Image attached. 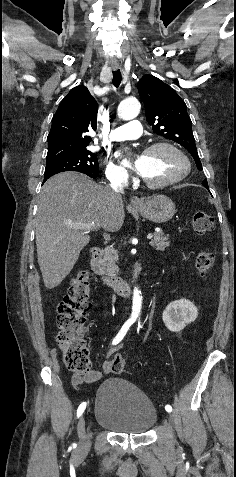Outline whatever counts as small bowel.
Returning <instances> with one entry per match:
<instances>
[{
	"label": "small bowel",
	"instance_id": "obj_1",
	"mask_svg": "<svg viewBox=\"0 0 236 477\" xmlns=\"http://www.w3.org/2000/svg\"><path fill=\"white\" fill-rule=\"evenodd\" d=\"M119 348H120L119 345L112 344V346L109 347L107 352V356L109 359L102 364L101 368L99 370H89L86 373L74 375L73 377L74 382L77 384L82 382L95 383L99 381L104 375L109 374L111 372L110 358L116 356Z\"/></svg>",
	"mask_w": 236,
	"mask_h": 477
}]
</instances>
